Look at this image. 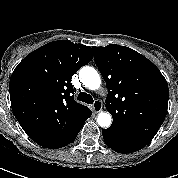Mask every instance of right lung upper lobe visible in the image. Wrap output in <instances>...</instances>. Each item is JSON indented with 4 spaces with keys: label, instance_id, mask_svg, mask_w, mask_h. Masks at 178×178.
Returning a JSON list of instances; mask_svg holds the SVG:
<instances>
[{
    "label": "right lung upper lobe",
    "instance_id": "1",
    "mask_svg": "<svg viewBox=\"0 0 178 178\" xmlns=\"http://www.w3.org/2000/svg\"><path fill=\"white\" fill-rule=\"evenodd\" d=\"M93 58V50L70 41H53L27 55L12 73L13 113L37 144L52 148L74 137L91 110L76 101L72 76Z\"/></svg>",
    "mask_w": 178,
    "mask_h": 178
}]
</instances>
